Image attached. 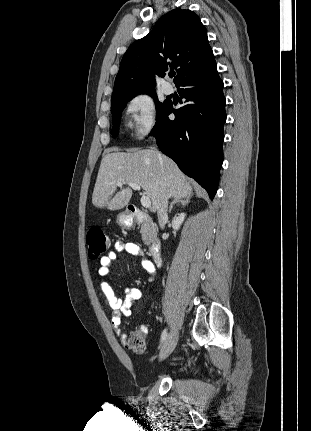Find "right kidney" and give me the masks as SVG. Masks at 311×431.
I'll list each match as a JSON object with an SVG mask.
<instances>
[{
  "instance_id": "obj_1",
  "label": "right kidney",
  "mask_w": 311,
  "mask_h": 431,
  "mask_svg": "<svg viewBox=\"0 0 311 431\" xmlns=\"http://www.w3.org/2000/svg\"><path fill=\"white\" fill-rule=\"evenodd\" d=\"M186 214H177V216L172 219V227L173 229H179L181 223H183Z\"/></svg>"
}]
</instances>
